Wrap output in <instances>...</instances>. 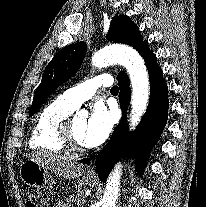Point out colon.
<instances>
[{
    "label": "colon",
    "instance_id": "1",
    "mask_svg": "<svg viewBox=\"0 0 206 207\" xmlns=\"http://www.w3.org/2000/svg\"><path fill=\"white\" fill-rule=\"evenodd\" d=\"M46 203L45 196L36 190H31L27 195V206L28 207H44Z\"/></svg>",
    "mask_w": 206,
    "mask_h": 207
}]
</instances>
